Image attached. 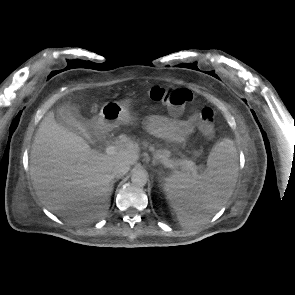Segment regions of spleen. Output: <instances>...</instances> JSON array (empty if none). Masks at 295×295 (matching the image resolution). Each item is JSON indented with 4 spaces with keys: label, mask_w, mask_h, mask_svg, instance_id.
<instances>
[{
    "label": "spleen",
    "mask_w": 295,
    "mask_h": 295,
    "mask_svg": "<svg viewBox=\"0 0 295 295\" xmlns=\"http://www.w3.org/2000/svg\"><path fill=\"white\" fill-rule=\"evenodd\" d=\"M237 175L236 148L232 140L223 139L212 148L204 173L168 177L164 190L181 225H200L219 210L232 195Z\"/></svg>",
    "instance_id": "1"
}]
</instances>
